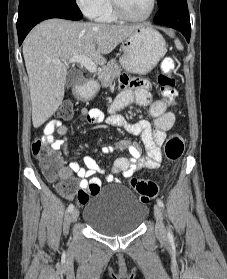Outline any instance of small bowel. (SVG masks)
<instances>
[{
    "mask_svg": "<svg viewBox=\"0 0 227 279\" xmlns=\"http://www.w3.org/2000/svg\"><path fill=\"white\" fill-rule=\"evenodd\" d=\"M120 87L121 92L110 105L111 116L107 119V123L122 126L127 132L140 136L146 155L143 156L138 146L127 140L105 145L102 148L104 154L125 150L130 154L129 157H121L114 161L110 172L105 174V179L108 182L116 181V174L131 177L141 169H158L162 159L160 147L165 142L167 131L172 128L175 122V114L165 111L166 102L154 99L149 81L132 79L123 75L120 78ZM133 103L149 108V114L154 119L153 124L146 119L128 123L124 117L118 114L119 111ZM81 114L90 124H99L104 119L102 112L98 109L84 108L81 110ZM55 133L63 137L55 139L53 137ZM43 140L53 151L62 150L64 154L69 155L67 127L61 121L51 119L47 122ZM59 174L64 182L74 175L80 178L79 186L85 192L87 198L78 199V202L84 205L91 193L90 185L97 183L100 186L101 181L97 175L104 174V170L94 157L87 155L83 158V166L78 162H70L60 168Z\"/></svg>",
    "mask_w": 227,
    "mask_h": 279,
    "instance_id": "obj_1",
    "label": "small bowel"
}]
</instances>
